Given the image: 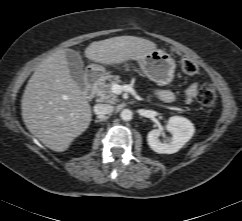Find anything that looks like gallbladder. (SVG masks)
<instances>
[{
  "label": "gallbladder",
  "mask_w": 242,
  "mask_h": 221,
  "mask_svg": "<svg viewBox=\"0 0 242 221\" xmlns=\"http://www.w3.org/2000/svg\"><path fill=\"white\" fill-rule=\"evenodd\" d=\"M65 54L71 77L77 83L81 91L85 90L86 84L81 56L78 52L71 49H67Z\"/></svg>",
  "instance_id": "obj_1"
}]
</instances>
